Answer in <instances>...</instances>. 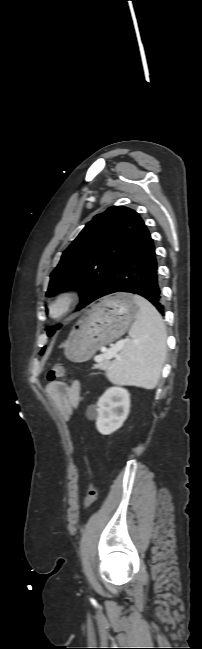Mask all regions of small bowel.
<instances>
[{
    "instance_id": "1",
    "label": "small bowel",
    "mask_w": 202,
    "mask_h": 649,
    "mask_svg": "<svg viewBox=\"0 0 202 649\" xmlns=\"http://www.w3.org/2000/svg\"><path fill=\"white\" fill-rule=\"evenodd\" d=\"M46 392L51 400L52 406L64 420L68 421L73 410L79 404L80 382L75 380L69 386L62 381H51L46 386Z\"/></svg>"
}]
</instances>
